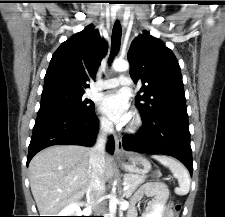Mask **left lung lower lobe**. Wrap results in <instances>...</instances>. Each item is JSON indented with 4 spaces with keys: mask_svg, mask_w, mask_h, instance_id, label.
<instances>
[{
    "mask_svg": "<svg viewBox=\"0 0 225 217\" xmlns=\"http://www.w3.org/2000/svg\"><path fill=\"white\" fill-rule=\"evenodd\" d=\"M142 120L144 125L135 136L123 137V148L139 153L173 156L187 167L192 176L193 159L187 111H164L142 116Z\"/></svg>",
    "mask_w": 225,
    "mask_h": 217,
    "instance_id": "obj_1",
    "label": "left lung lower lobe"
}]
</instances>
